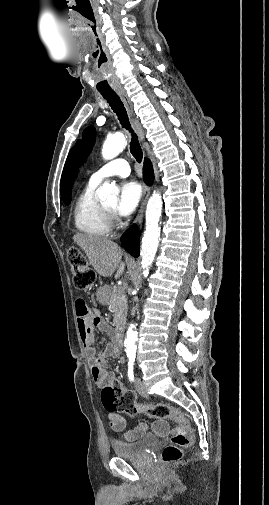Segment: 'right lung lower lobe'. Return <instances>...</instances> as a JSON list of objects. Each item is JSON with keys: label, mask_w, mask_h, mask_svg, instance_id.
Segmentation results:
<instances>
[{"label": "right lung lower lobe", "mask_w": 269, "mask_h": 505, "mask_svg": "<svg viewBox=\"0 0 269 505\" xmlns=\"http://www.w3.org/2000/svg\"><path fill=\"white\" fill-rule=\"evenodd\" d=\"M144 181L151 185L154 180L152 163L145 158L143 166ZM122 246L133 256L139 255V234L135 226L128 229L121 237Z\"/></svg>", "instance_id": "98d812e1"}]
</instances>
